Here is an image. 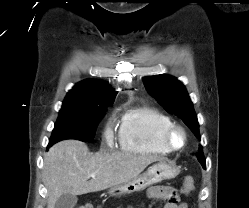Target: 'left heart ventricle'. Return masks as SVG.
I'll use <instances>...</instances> for the list:
<instances>
[{
	"label": "left heart ventricle",
	"mask_w": 249,
	"mask_h": 208,
	"mask_svg": "<svg viewBox=\"0 0 249 208\" xmlns=\"http://www.w3.org/2000/svg\"><path fill=\"white\" fill-rule=\"evenodd\" d=\"M182 140L183 138L180 133L175 134V136L173 137V142L177 145L181 144Z\"/></svg>",
	"instance_id": "obj_1"
}]
</instances>
